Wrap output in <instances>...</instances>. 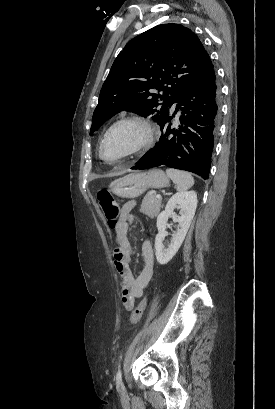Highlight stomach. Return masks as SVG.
I'll return each instance as SVG.
<instances>
[{"label":"stomach","mask_w":275,"mask_h":409,"mask_svg":"<svg viewBox=\"0 0 275 409\" xmlns=\"http://www.w3.org/2000/svg\"><path fill=\"white\" fill-rule=\"evenodd\" d=\"M169 178L163 170L153 168L147 172H132L123 178L111 182V190L121 198H136L147 188H164L168 186Z\"/></svg>","instance_id":"1"}]
</instances>
